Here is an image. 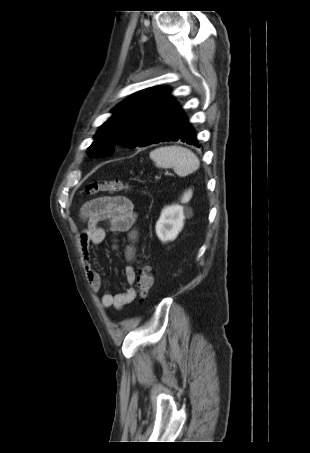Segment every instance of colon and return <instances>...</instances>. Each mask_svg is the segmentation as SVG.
<instances>
[{"instance_id": "colon-1", "label": "colon", "mask_w": 310, "mask_h": 453, "mask_svg": "<svg viewBox=\"0 0 310 453\" xmlns=\"http://www.w3.org/2000/svg\"><path fill=\"white\" fill-rule=\"evenodd\" d=\"M130 185L121 180L114 181H93L89 183L85 189L87 195H96L102 193H116L129 189ZM153 276L150 266L146 263L142 264L139 268L137 277V291L140 300H144L152 287Z\"/></svg>"}]
</instances>
